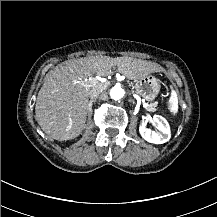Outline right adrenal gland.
<instances>
[{
	"instance_id": "obj_1",
	"label": "right adrenal gland",
	"mask_w": 217,
	"mask_h": 217,
	"mask_svg": "<svg viewBox=\"0 0 217 217\" xmlns=\"http://www.w3.org/2000/svg\"><path fill=\"white\" fill-rule=\"evenodd\" d=\"M96 99H92L88 102V110H91L93 103H95Z\"/></svg>"
}]
</instances>
